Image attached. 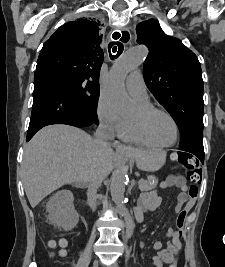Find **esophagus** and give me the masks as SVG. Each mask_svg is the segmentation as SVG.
<instances>
[{
  "label": "esophagus",
  "instance_id": "34e87169",
  "mask_svg": "<svg viewBox=\"0 0 225 267\" xmlns=\"http://www.w3.org/2000/svg\"><path fill=\"white\" fill-rule=\"evenodd\" d=\"M115 32H119L120 33V38L122 37V33H124V32H127L128 34H129V38H128V40H127V38H126V40L127 41H125L124 43H128L129 42V40H130V37H131V35H130V32H129V30L127 29V28H122L121 30H119V29H117V30H114L112 33H111V36H110V38H111V40H116L115 39ZM126 149V147H125V145H118L117 146V151L118 152H120V151H124Z\"/></svg>",
  "mask_w": 225,
  "mask_h": 267
}]
</instances>
